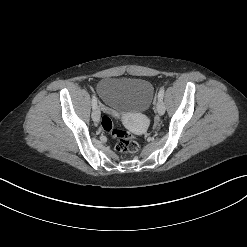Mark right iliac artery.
Returning <instances> with one entry per match:
<instances>
[{
  "instance_id": "right-iliac-artery-1",
  "label": "right iliac artery",
  "mask_w": 247,
  "mask_h": 247,
  "mask_svg": "<svg viewBox=\"0 0 247 247\" xmlns=\"http://www.w3.org/2000/svg\"><path fill=\"white\" fill-rule=\"evenodd\" d=\"M97 106V98L95 95H92V108H96Z\"/></svg>"
}]
</instances>
